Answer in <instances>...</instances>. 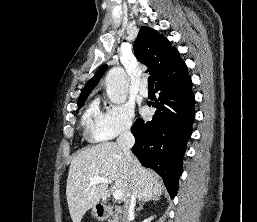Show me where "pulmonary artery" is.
<instances>
[{"mask_svg":"<svg viewBox=\"0 0 257 222\" xmlns=\"http://www.w3.org/2000/svg\"><path fill=\"white\" fill-rule=\"evenodd\" d=\"M139 93L144 97L148 96V88L145 80H143L139 85Z\"/></svg>","mask_w":257,"mask_h":222,"instance_id":"1","label":"pulmonary artery"}]
</instances>
